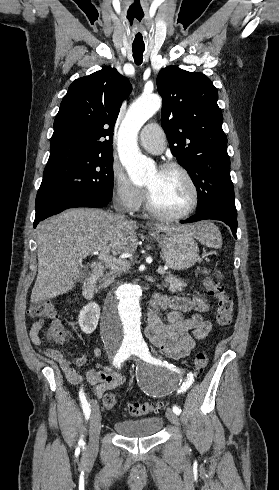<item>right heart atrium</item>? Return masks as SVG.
Wrapping results in <instances>:
<instances>
[{
  "label": "right heart atrium",
  "instance_id": "right-heart-atrium-1",
  "mask_svg": "<svg viewBox=\"0 0 279 490\" xmlns=\"http://www.w3.org/2000/svg\"><path fill=\"white\" fill-rule=\"evenodd\" d=\"M110 181L116 201L127 211L138 212L146 200L145 189L132 183L124 170L115 163L111 167Z\"/></svg>",
  "mask_w": 279,
  "mask_h": 490
}]
</instances>
